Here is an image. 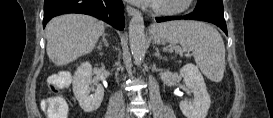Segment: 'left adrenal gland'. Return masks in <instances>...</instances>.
I'll return each mask as SVG.
<instances>
[{"mask_svg":"<svg viewBox=\"0 0 273 118\" xmlns=\"http://www.w3.org/2000/svg\"><path fill=\"white\" fill-rule=\"evenodd\" d=\"M155 55H156L157 57H160V53H159L158 50L156 51Z\"/></svg>","mask_w":273,"mask_h":118,"instance_id":"1","label":"left adrenal gland"}]
</instances>
